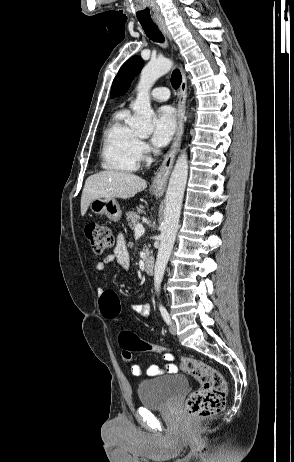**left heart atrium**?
Returning <instances> with one entry per match:
<instances>
[{"label":"left heart atrium","instance_id":"39dd6f15","mask_svg":"<svg viewBox=\"0 0 294 462\" xmlns=\"http://www.w3.org/2000/svg\"><path fill=\"white\" fill-rule=\"evenodd\" d=\"M176 130V114L172 107H161L154 118L153 143L162 147L169 143Z\"/></svg>","mask_w":294,"mask_h":462}]
</instances>
